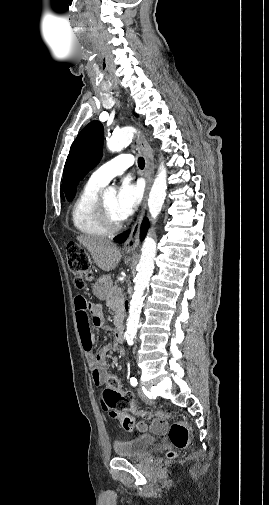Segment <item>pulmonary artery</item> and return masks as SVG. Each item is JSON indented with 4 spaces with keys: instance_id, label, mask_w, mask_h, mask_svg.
I'll return each mask as SVG.
<instances>
[{
    "instance_id": "pulmonary-artery-1",
    "label": "pulmonary artery",
    "mask_w": 269,
    "mask_h": 505,
    "mask_svg": "<svg viewBox=\"0 0 269 505\" xmlns=\"http://www.w3.org/2000/svg\"><path fill=\"white\" fill-rule=\"evenodd\" d=\"M133 164V157L129 154H121L97 168L89 177V181L105 186L112 178L121 175Z\"/></svg>"
}]
</instances>
